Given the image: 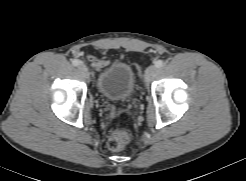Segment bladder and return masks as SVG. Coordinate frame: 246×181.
<instances>
[{
	"label": "bladder",
	"mask_w": 246,
	"mask_h": 181,
	"mask_svg": "<svg viewBox=\"0 0 246 181\" xmlns=\"http://www.w3.org/2000/svg\"><path fill=\"white\" fill-rule=\"evenodd\" d=\"M95 85L104 99L128 101L134 94L135 74L129 64L116 60L100 71Z\"/></svg>",
	"instance_id": "31cf9c89"
}]
</instances>
